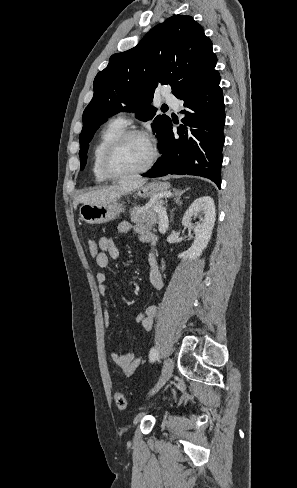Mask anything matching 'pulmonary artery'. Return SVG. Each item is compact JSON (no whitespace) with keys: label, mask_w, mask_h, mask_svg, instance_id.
Masks as SVG:
<instances>
[{"label":"pulmonary artery","mask_w":297,"mask_h":488,"mask_svg":"<svg viewBox=\"0 0 297 488\" xmlns=\"http://www.w3.org/2000/svg\"><path fill=\"white\" fill-rule=\"evenodd\" d=\"M165 101L176 110H179L181 107V102L179 101V99L172 94H166L165 95ZM118 118L126 124L130 123V119H129L128 114L126 112H121L119 114Z\"/></svg>","instance_id":"pulmonary-artery-1"}]
</instances>
